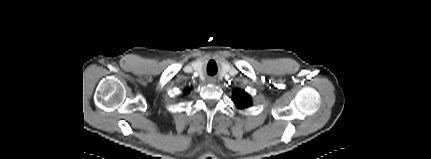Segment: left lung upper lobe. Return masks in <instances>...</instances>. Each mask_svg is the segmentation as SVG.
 Wrapping results in <instances>:
<instances>
[{
    "instance_id": "obj_1",
    "label": "left lung upper lobe",
    "mask_w": 431,
    "mask_h": 159,
    "mask_svg": "<svg viewBox=\"0 0 431 159\" xmlns=\"http://www.w3.org/2000/svg\"><path fill=\"white\" fill-rule=\"evenodd\" d=\"M233 100L239 107H247L251 104L250 97L244 91H236Z\"/></svg>"
}]
</instances>
